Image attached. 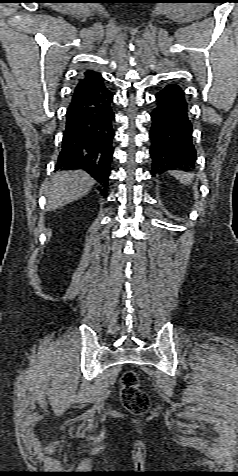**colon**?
<instances>
[{"instance_id":"1","label":"colon","mask_w":238,"mask_h":476,"mask_svg":"<svg viewBox=\"0 0 238 476\" xmlns=\"http://www.w3.org/2000/svg\"><path fill=\"white\" fill-rule=\"evenodd\" d=\"M120 399L123 406L132 414H142L147 411L150 399L146 392L140 389V382L134 370H127L121 376Z\"/></svg>"}]
</instances>
